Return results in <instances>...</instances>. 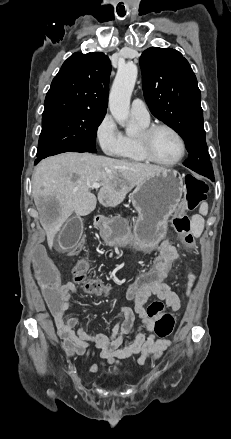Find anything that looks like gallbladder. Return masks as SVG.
<instances>
[{
    "mask_svg": "<svg viewBox=\"0 0 231 439\" xmlns=\"http://www.w3.org/2000/svg\"><path fill=\"white\" fill-rule=\"evenodd\" d=\"M82 218L74 216L69 219L60 231L57 239L56 249L58 251H68L75 247L76 241L82 236Z\"/></svg>",
    "mask_w": 231,
    "mask_h": 439,
    "instance_id": "gallbladder-1",
    "label": "gallbladder"
}]
</instances>
